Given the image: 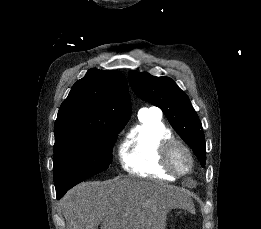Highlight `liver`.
I'll return each instance as SVG.
<instances>
[{"label":"liver","mask_w":261,"mask_h":229,"mask_svg":"<svg viewBox=\"0 0 261 229\" xmlns=\"http://www.w3.org/2000/svg\"><path fill=\"white\" fill-rule=\"evenodd\" d=\"M172 189V191H171ZM188 203L189 191L136 179L89 181L70 189L63 199L69 229H164L162 205Z\"/></svg>","instance_id":"1"}]
</instances>
